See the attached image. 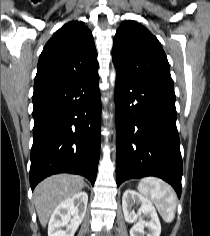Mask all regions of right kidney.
<instances>
[{
    "mask_svg": "<svg viewBox=\"0 0 210 236\" xmlns=\"http://www.w3.org/2000/svg\"><path fill=\"white\" fill-rule=\"evenodd\" d=\"M87 203L86 192H79L62 201L51 215L48 236H74L84 219Z\"/></svg>",
    "mask_w": 210,
    "mask_h": 236,
    "instance_id": "obj_1",
    "label": "right kidney"
}]
</instances>
